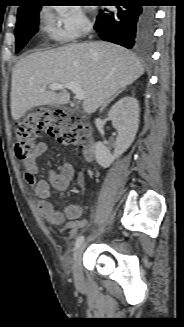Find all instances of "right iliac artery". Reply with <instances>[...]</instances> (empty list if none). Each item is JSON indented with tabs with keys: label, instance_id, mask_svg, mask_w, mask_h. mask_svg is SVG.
Masks as SVG:
<instances>
[{
	"label": "right iliac artery",
	"instance_id": "1",
	"mask_svg": "<svg viewBox=\"0 0 184 327\" xmlns=\"http://www.w3.org/2000/svg\"><path fill=\"white\" fill-rule=\"evenodd\" d=\"M84 241V236H79L76 240V243H75V251L82 245Z\"/></svg>",
	"mask_w": 184,
	"mask_h": 327
}]
</instances>
